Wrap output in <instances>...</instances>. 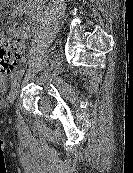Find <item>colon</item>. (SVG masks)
Segmentation results:
<instances>
[{"instance_id": "5ec220e1", "label": "colon", "mask_w": 133, "mask_h": 173, "mask_svg": "<svg viewBox=\"0 0 133 173\" xmlns=\"http://www.w3.org/2000/svg\"><path fill=\"white\" fill-rule=\"evenodd\" d=\"M23 38L20 35L13 36L5 46L0 47V76L12 72L23 60Z\"/></svg>"}]
</instances>
